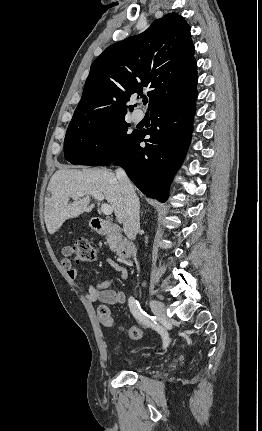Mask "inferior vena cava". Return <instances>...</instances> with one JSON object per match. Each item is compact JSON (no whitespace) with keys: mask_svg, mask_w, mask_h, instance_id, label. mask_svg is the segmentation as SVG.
Instances as JSON below:
<instances>
[{"mask_svg":"<svg viewBox=\"0 0 262 431\" xmlns=\"http://www.w3.org/2000/svg\"><path fill=\"white\" fill-rule=\"evenodd\" d=\"M116 177L124 192L123 229L127 237L134 240L140 227L139 198L136 196L134 187L122 168L116 170Z\"/></svg>","mask_w":262,"mask_h":431,"instance_id":"602c4592","label":"inferior vena cava"}]
</instances>
